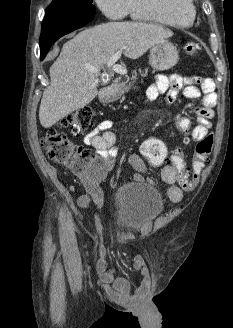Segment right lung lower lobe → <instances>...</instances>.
Wrapping results in <instances>:
<instances>
[{"mask_svg":"<svg viewBox=\"0 0 233 328\" xmlns=\"http://www.w3.org/2000/svg\"><path fill=\"white\" fill-rule=\"evenodd\" d=\"M95 13H47L42 23L40 59L43 60L50 46L60 37L86 25Z\"/></svg>","mask_w":233,"mask_h":328,"instance_id":"right-lung-lower-lobe-1","label":"right lung lower lobe"}]
</instances>
